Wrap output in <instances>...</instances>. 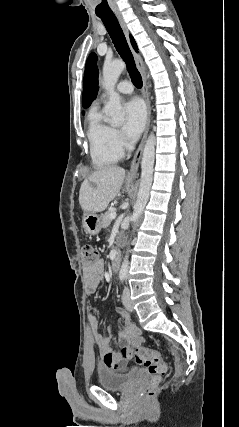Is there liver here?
<instances>
[{
    "instance_id": "6515ba94",
    "label": "liver",
    "mask_w": 239,
    "mask_h": 427,
    "mask_svg": "<svg viewBox=\"0 0 239 427\" xmlns=\"http://www.w3.org/2000/svg\"><path fill=\"white\" fill-rule=\"evenodd\" d=\"M125 170L109 165L90 174L81 184L79 204L84 211L102 212L120 192Z\"/></svg>"
}]
</instances>
